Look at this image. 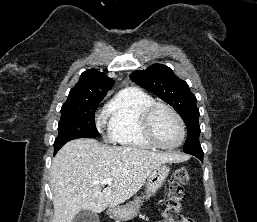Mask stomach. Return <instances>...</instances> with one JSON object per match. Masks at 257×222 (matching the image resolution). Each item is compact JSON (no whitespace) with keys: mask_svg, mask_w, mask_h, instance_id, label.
Segmentation results:
<instances>
[{"mask_svg":"<svg viewBox=\"0 0 257 222\" xmlns=\"http://www.w3.org/2000/svg\"><path fill=\"white\" fill-rule=\"evenodd\" d=\"M169 171L170 168L167 165L161 164L150 173L146 182V196L144 198L149 199L150 196L154 195L163 186ZM142 202L141 198H137L124 206L112 207L109 215L117 222L130 220L138 214Z\"/></svg>","mask_w":257,"mask_h":222,"instance_id":"1","label":"stomach"}]
</instances>
